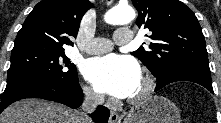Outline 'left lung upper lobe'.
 I'll return each mask as SVG.
<instances>
[{
	"label": "left lung upper lobe",
	"mask_w": 221,
	"mask_h": 123,
	"mask_svg": "<svg viewBox=\"0 0 221 123\" xmlns=\"http://www.w3.org/2000/svg\"><path fill=\"white\" fill-rule=\"evenodd\" d=\"M136 24L151 31L150 50L142 46L132 55L159 78L180 67L209 69L205 38L195 14L179 0H132ZM210 70V69H209Z\"/></svg>",
	"instance_id": "5c2ea615"
}]
</instances>
